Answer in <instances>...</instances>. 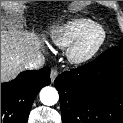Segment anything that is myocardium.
<instances>
[{"label":"myocardium","mask_w":123,"mask_h":123,"mask_svg":"<svg viewBox=\"0 0 123 123\" xmlns=\"http://www.w3.org/2000/svg\"><path fill=\"white\" fill-rule=\"evenodd\" d=\"M96 31L100 32L99 39L92 46L86 47L87 40ZM106 38L107 32L105 28L100 24H93L82 32L67 48V59L75 65H82L89 62L104 45Z\"/></svg>","instance_id":"f54148a6"}]
</instances>
